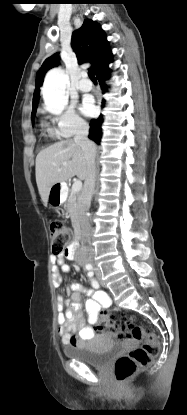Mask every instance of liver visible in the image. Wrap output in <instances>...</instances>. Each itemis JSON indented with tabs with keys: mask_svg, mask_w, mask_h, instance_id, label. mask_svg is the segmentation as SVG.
<instances>
[{
	"mask_svg": "<svg viewBox=\"0 0 187 415\" xmlns=\"http://www.w3.org/2000/svg\"><path fill=\"white\" fill-rule=\"evenodd\" d=\"M86 168L84 152L74 140H63L40 151L36 157L35 175L43 204L47 205L53 185L65 182L75 175L84 180Z\"/></svg>",
	"mask_w": 187,
	"mask_h": 415,
	"instance_id": "6515ba94",
	"label": "liver"
}]
</instances>
